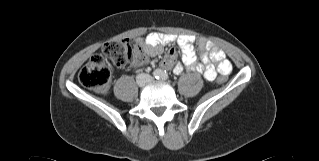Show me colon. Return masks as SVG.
Segmentation results:
<instances>
[{
    "label": "colon",
    "instance_id": "colon-1",
    "mask_svg": "<svg viewBox=\"0 0 319 161\" xmlns=\"http://www.w3.org/2000/svg\"><path fill=\"white\" fill-rule=\"evenodd\" d=\"M102 51L119 67L136 69L150 63L149 51L143 45L129 39L109 41L104 44ZM110 80V68L100 54L92 56L79 72L80 83L95 92H105L109 88ZM226 80L225 75L218 78L219 83Z\"/></svg>",
    "mask_w": 319,
    "mask_h": 161
}]
</instances>
